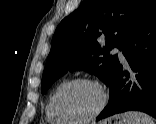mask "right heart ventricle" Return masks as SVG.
Wrapping results in <instances>:
<instances>
[{
	"label": "right heart ventricle",
	"mask_w": 156,
	"mask_h": 124,
	"mask_svg": "<svg viewBox=\"0 0 156 124\" xmlns=\"http://www.w3.org/2000/svg\"><path fill=\"white\" fill-rule=\"evenodd\" d=\"M67 81L68 79H63L62 81H60L56 85V87L53 89V91L50 93V95L48 96L46 106H45V117H46V120L51 124H69V122L60 118L53 109L54 96L57 90Z\"/></svg>",
	"instance_id": "right-heart-ventricle-1"
}]
</instances>
